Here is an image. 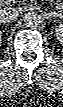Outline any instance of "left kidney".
I'll return each instance as SVG.
<instances>
[{"label":"left kidney","instance_id":"1","mask_svg":"<svg viewBox=\"0 0 63 107\" xmlns=\"http://www.w3.org/2000/svg\"><path fill=\"white\" fill-rule=\"evenodd\" d=\"M55 34L56 37L58 39V41L63 44V25H59L56 29H55Z\"/></svg>","mask_w":63,"mask_h":107}]
</instances>
